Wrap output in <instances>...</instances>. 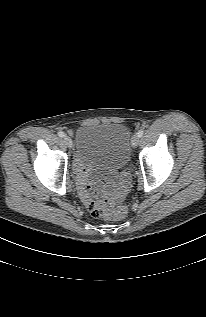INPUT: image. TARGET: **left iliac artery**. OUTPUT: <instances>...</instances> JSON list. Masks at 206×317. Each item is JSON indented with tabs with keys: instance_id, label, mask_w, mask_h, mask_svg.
<instances>
[{
	"instance_id": "obj_1",
	"label": "left iliac artery",
	"mask_w": 206,
	"mask_h": 317,
	"mask_svg": "<svg viewBox=\"0 0 206 317\" xmlns=\"http://www.w3.org/2000/svg\"><path fill=\"white\" fill-rule=\"evenodd\" d=\"M137 134L139 137H142L144 134V131L142 129H140Z\"/></svg>"
}]
</instances>
